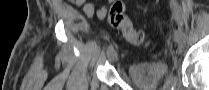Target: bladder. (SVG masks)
Returning <instances> with one entry per match:
<instances>
[{
	"mask_svg": "<svg viewBox=\"0 0 209 90\" xmlns=\"http://www.w3.org/2000/svg\"><path fill=\"white\" fill-rule=\"evenodd\" d=\"M168 70V64L165 62L133 63L128 67V76L137 85L150 88L166 78Z\"/></svg>",
	"mask_w": 209,
	"mask_h": 90,
	"instance_id": "1",
	"label": "bladder"
}]
</instances>
